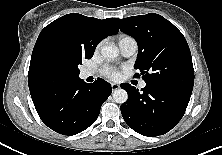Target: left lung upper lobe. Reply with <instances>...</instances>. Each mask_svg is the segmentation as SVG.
I'll list each match as a JSON object with an SVG mask.
<instances>
[{
  "label": "left lung upper lobe",
  "mask_w": 222,
  "mask_h": 155,
  "mask_svg": "<svg viewBox=\"0 0 222 155\" xmlns=\"http://www.w3.org/2000/svg\"><path fill=\"white\" fill-rule=\"evenodd\" d=\"M115 22L137 41L139 53L134 68L141 72L146 84L192 93L194 69L190 49L171 22L154 13L116 18Z\"/></svg>",
  "instance_id": "5c2ea615"
}]
</instances>
